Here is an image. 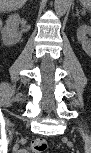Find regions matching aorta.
I'll use <instances>...</instances> for the list:
<instances>
[{"instance_id": "obj_1", "label": "aorta", "mask_w": 91, "mask_h": 153, "mask_svg": "<svg viewBox=\"0 0 91 153\" xmlns=\"http://www.w3.org/2000/svg\"><path fill=\"white\" fill-rule=\"evenodd\" d=\"M69 7V0H55L54 1V8L55 12L59 16H63Z\"/></svg>"}]
</instances>
